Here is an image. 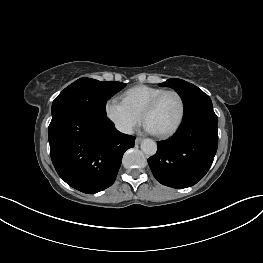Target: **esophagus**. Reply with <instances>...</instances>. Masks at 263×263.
Returning <instances> with one entry per match:
<instances>
[{"mask_svg":"<svg viewBox=\"0 0 263 263\" xmlns=\"http://www.w3.org/2000/svg\"><path fill=\"white\" fill-rule=\"evenodd\" d=\"M141 141H142V138L137 137V138L135 139V144H139Z\"/></svg>","mask_w":263,"mask_h":263,"instance_id":"1","label":"esophagus"}]
</instances>
